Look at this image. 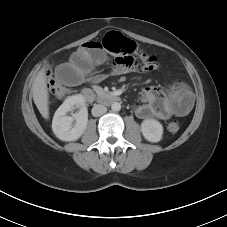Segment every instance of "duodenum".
<instances>
[{"label":"duodenum","instance_id":"obj_1","mask_svg":"<svg viewBox=\"0 0 227 227\" xmlns=\"http://www.w3.org/2000/svg\"><path fill=\"white\" fill-rule=\"evenodd\" d=\"M83 99L88 103L98 102L102 104H110L119 102L120 97L112 93H97L92 89L85 88L81 92Z\"/></svg>","mask_w":227,"mask_h":227}]
</instances>
